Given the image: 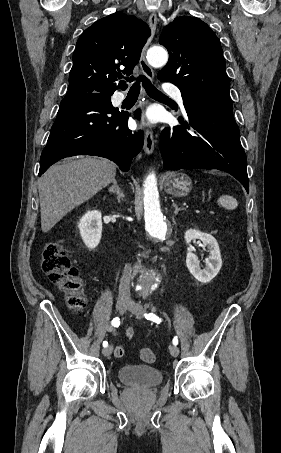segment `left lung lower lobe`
Wrapping results in <instances>:
<instances>
[{"instance_id":"left-lung-lower-lobe-1","label":"left lung lower lobe","mask_w":281,"mask_h":453,"mask_svg":"<svg viewBox=\"0 0 281 453\" xmlns=\"http://www.w3.org/2000/svg\"><path fill=\"white\" fill-rule=\"evenodd\" d=\"M189 122L162 131L164 169H218L234 176L249 192L247 160L231 101L184 104ZM189 129V131L187 130Z\"/></svg>"}]
</instances>
